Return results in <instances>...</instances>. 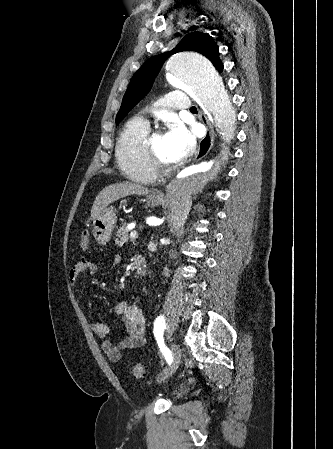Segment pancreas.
<instances>
[{
    "label": "pancreas",
    "mask_w": 333,
    "mask_h": 449,
    "mask_svg": "<svg viewBox=\"0 0 333 449\" xmlns=\"http://www.w3.org/2000/svg\"><path fill=\"white\" fill-rule=\"evenodd\" d=\"M128 240H129V229L126 223H124L116 233L115 244L118 246H122Z\"/></svg>",
    "instance_id": "obj_1"
}]
</instances>
